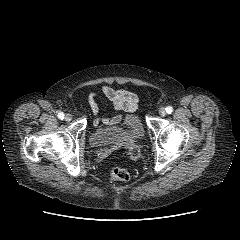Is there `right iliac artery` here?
Masks as SVG:
<instances>
[{"instance_id":"right-iliac-artery-1","label":"right iliac artery","mask_w":240,"mask_h":240,"mask_svg":"<svg viewBox=\"0 0 240 240\" xmlns=\"http://www.w3.org/2000/svg\"><path fill=\"white\" fill-rule=\"evenodd\" d=\"M57 116L61 120L64 119V113L63 112H59Z\"/></svg>"}]
</instances>
